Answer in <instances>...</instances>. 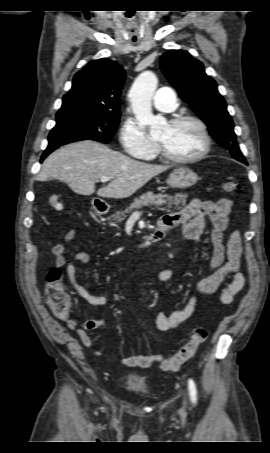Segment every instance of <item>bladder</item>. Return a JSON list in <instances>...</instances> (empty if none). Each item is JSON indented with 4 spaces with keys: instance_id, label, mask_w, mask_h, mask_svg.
<instances>
[{
    "instance_id": "obj_1",
    "label": "bladder",
    "mask_w": 270,
    "mask_h": 453,
    "mask_svg": "<svg viewBox=\"0 0 270 453\" xmlns=\"http://www.w3.org/2000/svg\"><path fill=\"white\" fill-rule=\"evenodd\" d=\"M126 388L134 392H146L148 390V384L146 380L137 374H131L128 376Z\"/></svg>"
}]
</instances>
